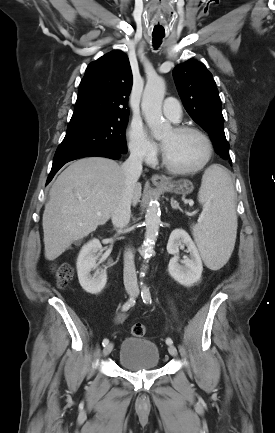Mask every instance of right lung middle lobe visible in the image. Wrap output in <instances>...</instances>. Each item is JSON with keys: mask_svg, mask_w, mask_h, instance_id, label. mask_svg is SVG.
Instances as JSON below:
<instances>
[{"mask_svg": "<svg viewBox=\"0 0 275 433\" xmlns=\"http://www.w3.org/2000/svg\"><path fill=\"white\" fill-rule=\"evenodd\" d=\"M127 118L83 117L71 119L67 133L55 155L89 151L94 149H113L127 153L125 130Z\"/></svg>", "mask_w": 275, "mask_h": 433, "instance_id": "obj_1", "label": "right lung middle lobe"}]
</instances>
